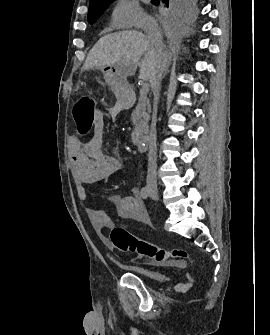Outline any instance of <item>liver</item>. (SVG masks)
<instances>
[{"mask_svg": "<svg viewBox=\"0 0 270 335\" xmlns=\"http://www.w3.org/2000/svg\"><path fill=\"white\" fill-rule=\"evenodd\" d=\"M141 56H144L143 60ZM166 60L167 48L164 44L155 48L142 32H114L100 38L91 48L83 70L113 66L119 80H126L128 76H134L139 66L140 78L150 82Z\"/></svg>", "mask_w": 270, "mask_h": 335, "instance_id": "obj_1", "label": "liver"}]
</instances>
